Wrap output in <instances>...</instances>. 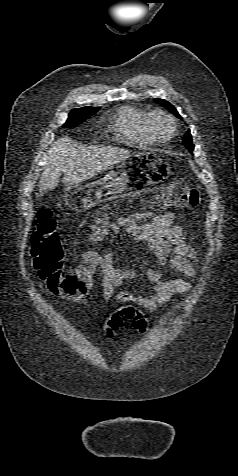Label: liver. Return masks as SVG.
<instances>
[{
  "mask_svg": "<svg viewBox=\"0 0 238 476\" xmlns=\"http://www.w3.org/2000/svg\"><path fill=\"white\" fill-rule=\"evenodd\" d=\"M129 155L128 150L118 147H86L69 137L58 138L49 148L38 183L39 192L55 188L62 173V182L69 188L111 168Z\"/></svg>",
  "mask_w": 238,
  "mask_h": 476,
  "instance_id": "obj_1",
  "label": "liver"
}]
</instances>
